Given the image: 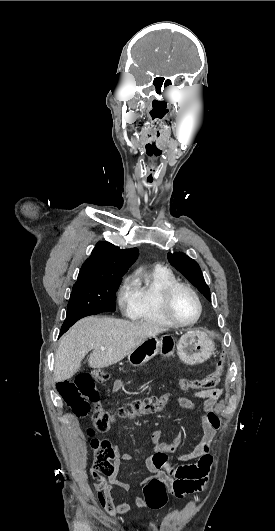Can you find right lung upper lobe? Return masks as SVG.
Returning a JSON list of instances; mask_svg holds the SVG:
<instances>
[{
  "instance_id": "1",
  "label": "right lung upper lobe",
  "mask_w": 275,
  "mask_h": 531,
  "mask_svg": "<svg viewBox=\"0 0 275 531\" xmlns=\"http://www.w3.org/2000/svg\"><path fill=\"white\" fill-rule=\"evenodd\" d=\"M138 256V249H120L109 242H98L83 263L78 279L122 277Z\"/></svg>"
}]
</instances>
